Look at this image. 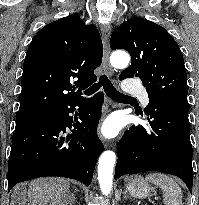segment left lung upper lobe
Instances as JSON below:
<instances>
[{
	"instance_id": "5c2ea615",
	"label": "left lung upper lobe",
	"mask_w": 199,
	"mask_h": 205,
	"mask_svg": "<svg viewBox=\"0 0 199 205\" xmlns=\"http://www.w3.org/2000/svg\"><path fill=\"white\" fill-rule=\"evenodd\" d=\"M111 49H125L132 63L120 79L139 77L149 100H160L189 110L188 85L183 55L176 41L163 27L133 17L114 30Z\"/></svg>"
}]
</instances>
